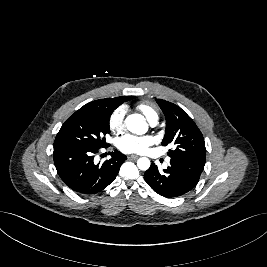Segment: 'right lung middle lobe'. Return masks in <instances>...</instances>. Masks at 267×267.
<instances>
[{"label":"right lung middle lobe","mask_w":267,"mask_h":267,"mask_svg":"<svg viewBox=\"0 0 267 267\" xmlns=\"http://www.w3.org/2000/svg\"><path fill=\"white\" fill-rule=\"evenodd\" d=\"M113 111L114 109L110 107L76 111L62 125L55 138L54 148L99 149L104 147V136L110 133L109 120Z\"/></svg>","instance_id":"obj_1"}]
</instances>
